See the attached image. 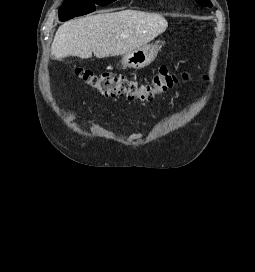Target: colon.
Wrapping results in <instances>:
<instances>
[{
  "label": "colon",
  "instance_id": "colon-1",
  "mask_svg": "<svg viewBox=\"0 0 255 272\" xmlns=\"http://www.w3.org/2000/svg\"><path fill=\"white\" fill-rule=\"evenodd\" d=\"M76 75L85 85L104 97L124 96L129 100L150 101L155 96L166 92L178 83L187 79L188 74L181 75L169 66L163 65L153 75L149 83H140L135 78L115 73H95L87 69H78Z\"/></svg>",
  "mask_w": 255,
  "mask_h": 272
}]
</instances>
